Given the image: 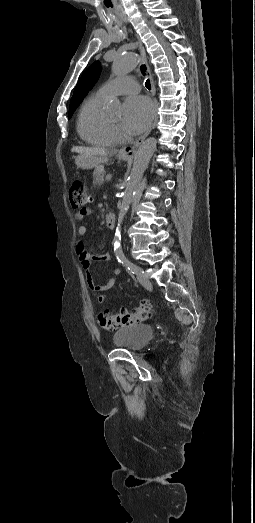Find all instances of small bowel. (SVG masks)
<instances>
[{
    "mask_svg": "<svg viewBox=\"0 0 255 523\" xmlns=\"http://www.w3.org/2000/svg\"><path fill=\"white\" fill-rule=\"evenodd\" d=\"M90 214H92V210L90 208H82L76 213L75 217L78 221H82L86 216ZM87 231L88 228L86 225L79 226L77 230L78 240L76 243V253L81 266L87 272V283L89 287L97 292H105L114 287V285L116 284L117 277L121 273V270L118 268L114 269L112 276L105 283H97L94 281L90 273L91 262L93 260H105L111 262L112 256L109 252H105L103 254H91L89 251H87L84 243Z\"/></svg>",
    "mask_w": 255,
    "mask_h": 523,
    "instance_id": "obj_1",
    "label": "small bowel"
}]
</instances>
